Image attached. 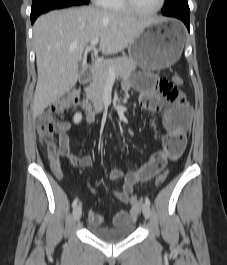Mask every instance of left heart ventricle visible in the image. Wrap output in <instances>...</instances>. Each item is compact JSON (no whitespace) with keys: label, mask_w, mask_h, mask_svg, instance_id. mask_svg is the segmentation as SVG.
<instances>
[{"label":"left heart ventricle","mask_w":227,"mask_h":265,"mask_svg":"<svg viewBox=\"0 0 227 265\" xmlns=\"http://www.w3.org/2000/svg\"><path fill=\"white\" fill-rule=\"evenodd\" d=\"M136 7L143 11H149L156 8L160 0H133Z\"/></svg>","instance_id":"left-heart-ventricle-1"}]
</instances>
